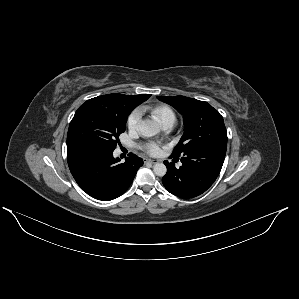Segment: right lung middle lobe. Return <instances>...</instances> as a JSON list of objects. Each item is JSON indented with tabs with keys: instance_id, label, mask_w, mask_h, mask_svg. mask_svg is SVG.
<instances>
[{
	"instance_id": "dd1d6c3e",
	"label": "right lung middle lobe",
	"mask_w": 299,
	"mask_h": 299,
	"mask_svg": "<svg viewBox=\"0 0 299 299\" xmlns=\"http://www.w3.org/2000/svg\"><path fill=\"white\" fill-rule=\"evenodd\" d=\"M131 110L92 108L76 111L67 134V147L100 146L115 149Z\"/></svg>"
}]
</instances>
